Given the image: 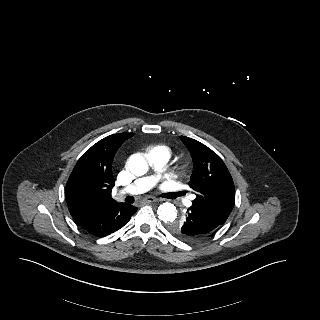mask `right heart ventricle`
I'll return each instance as SVG.
<instances>
[{
  "label": "right heart ventricle",
  "instance_id": "e07e8e85",
  "mask_svg": "<svg viewBox=\"0 0 320 320\" xmlns=\"http://www.w3.org/2000/svg\"><path fill=\"white\" fill-rule=\"evenodd\" d=\"M154 150H165V151H167V148L165 146H155V147L149 148V151H154Z\"/></svg>",
  "mask_w": 320,
  "mask_h": 320
}]
</instances>
